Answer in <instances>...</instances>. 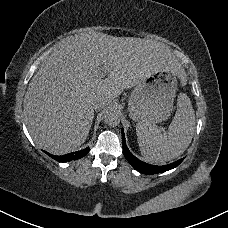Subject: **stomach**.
Listing matches in <instances>:
<instances>
[{
    "label": "stomach",
    "instance_id": "1",
    "mask_svg": "<svg viewBox=\"0 0 228 228\" xmlns=\"http://www.w3.org/2000/svg\"><path fill=\"white\" fill-rule=\"evenodd\" d=\"M177 76L172 71H157L135 86L128 101L132 120L159 124L169 119L177 88Z\"/></svg>",
    "mask_w": 228,
    "mask_h": 228
}]
</instances>
